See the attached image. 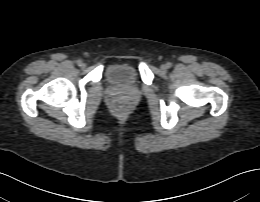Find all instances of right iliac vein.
I'll return each mask as SVG.
<instances>
[{
    "instance_id": "right-iliac-vein-1",
    "label": "right iliac vein",
    "mask_w": 260,
    "mask_h": 202,
    "mask_svg": "<svg viewBox=\"0 0 260 202\" xmlns=\"http://www.w3.org/2000/svg\"><path fill=\"white\" fill-rule=\"evenodd\" d=\"M86 67V64L85 63H82L81 64V68H85Z\"/></svg>"
}]
</instances>
